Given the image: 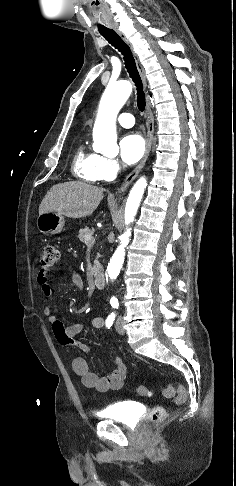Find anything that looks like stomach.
Segmentation results:
<instances>
[{"mask_svg":"<svg viewBox=\"0 0 236 486\" xmlns=\"http://www.w3.org/2000/svg\"><path fill=\"white\" fill-rule=\"evenodd\" d=\"M64 217L55 212L40 214L36 220L37 229L43 234L60 233L64 227Z\"/></svg>","mask_w":236,"mask_h":486,"instance_id":"0dacf381","label":"stomach"}]
</instances>
